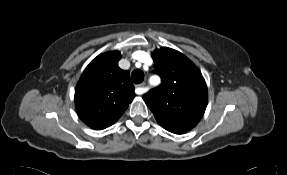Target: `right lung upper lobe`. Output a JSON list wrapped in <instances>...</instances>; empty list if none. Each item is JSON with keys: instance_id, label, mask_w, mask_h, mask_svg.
<instances>
[{"instance_id": "1", "label": "right lung upper lobe", "mask_w": 287, "mask_h": 175, "mask_svg": "<svg viewBox=\"0 0 287 175\" xmlns=\"http://www.w3.org/2000/svg\"><path fill=\"white\" fill-rule=\"evenodd\" d=\"M120 58L118 51L97 56L86 67L76 86L78 116L93 129L113 125L135 97L130 72L118 66Z\"/></svg>"}]
</instances>
